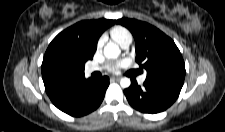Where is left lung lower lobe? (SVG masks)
Here are the masks:
<instances>
[{"label": "left lung lower lobe", "instance_id": "obj_1", "mask_svg": "<svg viewBox=\"0 0 225 132\" xmlns=\"http://www.w3.org/2000/svg\"><path fill=\"white\" fill-rule=\"evenodd\" d=\"M183 84L146 79L139 86L131 79V86L124 90L129 104L135 109L155 114L166 110L178 98Z\"/></svg>", "mask_w": 225, "mask_h": 132}]
</instances>
